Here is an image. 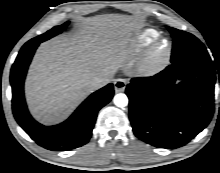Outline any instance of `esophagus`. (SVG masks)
Instances as JSON below:
<instances>
[{"label":"esophagus","instance_id":"1","mask_svg":"<svg viewBox=\"0 0 220 173\" xmlns=\"http://www.w3.org/2000/svg\"><path fill=\"white\" fill-rule=\"evenodd\" d=\"M127 85L125 79H116L114 82V89L116 93L124 92Z\"/></svg>","mask_w":220,"mask_h":173}]
</instances>
